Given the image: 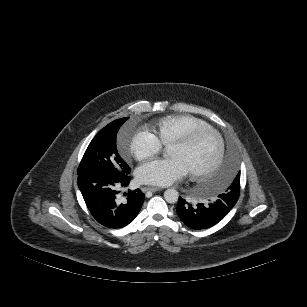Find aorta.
Returning a JSON list of instances; mask_svg holds the SVG:
<instances>
[{
    "instance_id": "762f6f07",
    "label": "aorta",
    "mask_w": 307,
    "mask_h": 307,
    "mask_svg": "<svg viewBox=\"0 0 307 307\" xmlns=\"http://www.w3.org/2000/svg\"><path fill=\"white\" fill-rule=\"evenodd\" d=\"M178 198H179V193L175 189H167L164 192V199L166 200V202L170 204L176 203L178 201Z\"/></svg>"
}]
</instances>
